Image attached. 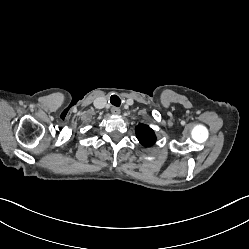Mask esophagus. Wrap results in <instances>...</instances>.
Listing matches in <instances>:
<instances>
[{
    "instance_id": "1",
    "label": "esophagus",
    "mask_w": 249,
    "mask_h": 249,
    "mask_svg": "<svg viewBox=\"0 0 249 249\" xmlns=\"http://www.w3.org/2000/svg\"><path fill=\"white\" fill-rule=\"evenodd\" d=\"M111 112L115 115L120 114V109L118 107H112Z\"/></svg>"
}]
</instances>
